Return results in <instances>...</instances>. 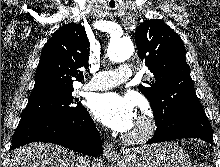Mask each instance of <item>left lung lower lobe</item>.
Returning a JSON list of instances; mask_svg holds the SVG:
<instances>
[{
  "instance_id": "left-lung-lower-lobe-1",
  "label": "left lung lower lobe",
  "mask_w": 220,
  "mask_h": 167,
  "mask_svg": "<svg viewBox=\"0 0 220 167\" xmlns=\"http://www.w3.org/2000/svg\"><path fill=\"white\" fill-rule=\"evenodd\" d=\"M181 138H201L213 145L212 128L203 109L182 112L157 125L154 136L147 144Z\"/></svg>"
}]
</instances>
